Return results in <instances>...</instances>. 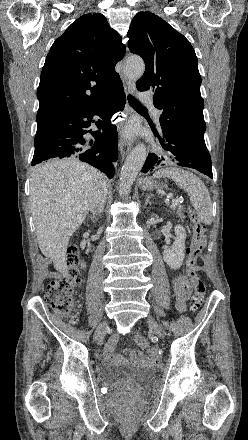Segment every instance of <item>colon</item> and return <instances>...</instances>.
Here are the masks:
<instances>
[{
	"instance_id": "colon-1",
	"label": "colon",
	"mask_w": 248,
	"mask_h": 440,
	"mask_svg": "<svg viewBox=\"0 0 248 440\" xmlns=\"http://www.w3.org/2000/svg\"><path fill=\"white\" fill-rule=\"evenodd\" d=\"M190 219L193 223L194 234L188 250L187 273L192 287V309L198 310L203 302L206 285L198 274L197 260L205 246V226L198 220L195 211L189 210ZM67 270L58 279L51 281L47 287L45 300L52 311L59 317L69 318L72 323L77 322L75 315L74 289L79 282V256L76 245H71L67 253ZM135 343L142 349L148 348V342L142 335L135 336ZM131 409L120 410V414L131 412Z\"/></svg>"
}]
</instances>
